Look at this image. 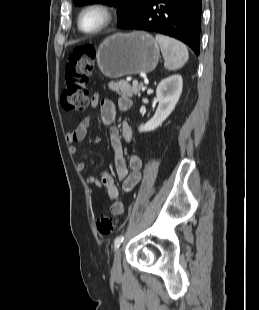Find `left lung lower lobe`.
<instances>
[{
	"mask_svg": "<svg viewBox=\"0 0 259 310\" xmlns=\"http://www.w3.org/2000/svg\"><path fill=\"white\" fill-rule=\"evenodd\" d=\"M201 5L202 0H151L143 11L119 28L155 31L169 35L187 44L198 56Z\"/></svg>",
	"mask_w": 259,
	"mask_h": 310,
	"instance_id": "1",
	"label": "left lung lower lobe"
}]
</instances>
